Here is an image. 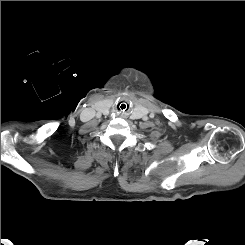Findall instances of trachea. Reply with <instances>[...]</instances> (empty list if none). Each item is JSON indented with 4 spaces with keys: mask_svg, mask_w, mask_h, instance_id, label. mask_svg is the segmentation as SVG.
I'll return each instance as SVG.
<instances>
[{
    "mask_svg": "<svg viewBox=\"0 0 245 245\" xmlns=\"http://www.w3.org/2000/svg\"><path fill=\"white\" fill-rule=\"evenodd\" d=\"M130 109V103L127 101H121L117 104V110L121 113H125Z\"/></svg>",
    "mask_w": 245,
    "mask_h": 245,
    "instance_id": "3493384b",
    "label": "trachea"
}]
</instances>
